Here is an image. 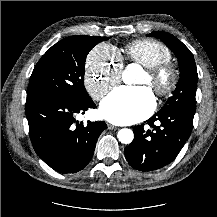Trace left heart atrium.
I'll list each match as a JSON object with an SVG mask.
<instances>
[{"instance_id": "obj_1", "label": "left heart atrium", "mask_w": 217, "mask_h": 217, "mask_svg": "<svg viewBox=\"0 0 217 217\" xmlns=\"http://www.w3.org/2000/svg\"><path fill=\"white\" fill-rule=\"evenodd\" d=\"M153 108L154 97L148 87L123 86L103 99L100 112L112 123L130 124L147 117Z\"/></svg>"}]
</instances>
